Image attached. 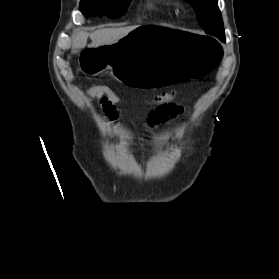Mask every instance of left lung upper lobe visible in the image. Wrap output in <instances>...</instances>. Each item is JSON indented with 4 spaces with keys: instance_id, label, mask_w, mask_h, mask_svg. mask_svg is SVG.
Segmentation results:
<instances>
[{
    "instance_id": "left-lung-upper-lobe-1",
    "label": "left lung upper lobe",
    "mask_w": 279,
    "mask_h": 279,
    "mask_svg": "<svg viewBox=\"0 0 279 279\" xmlns=\"http://www.w3.org/2000/svg\"><path fill=\"white\" fill-rule=\"evenodd\" d=\"M190 3L197 13L199 24L209 35L224 39V29L218 0H184Z\"/></svg>"
}]
</instances>
